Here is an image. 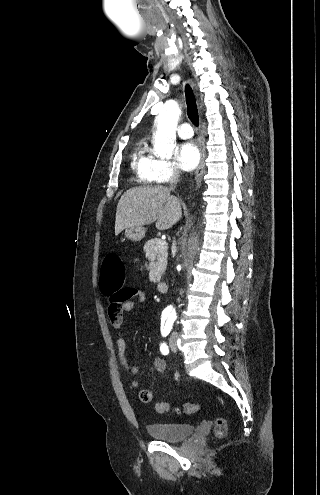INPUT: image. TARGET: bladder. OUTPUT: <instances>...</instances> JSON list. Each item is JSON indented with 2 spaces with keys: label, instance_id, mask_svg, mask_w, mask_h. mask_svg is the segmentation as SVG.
<instances>
[{
  "label": "bladder",
  "instance_id": "1",
  "mask_svg": "<svg viewBox=\"0 0 320 495\" xmlns=\"http://www.w3.org/2000/svg\"><path fill=\"white\" fill-rule=\"evenodd\" d=\"M147 431L153 438L177 442L189 437L194 432V426L190 423H151Z\"/></svg>",
  "mask_w": 320,
  "mask_h": 495
}]
</instances>
